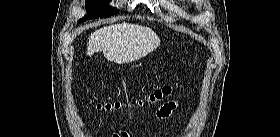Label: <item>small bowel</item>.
Instances as JSON below:
<instances>
[{"label": "small bowel", "instance_id": "obj_1", "mask_svg": "<svg viewBox=\"0 0 280 137\" xmlns=\"http://www.w3.org/2000/svg\"><path fill=\"white\" fill-rule=\"evenodd\" d=\"M177 104L175 102H170L165 105H163L161 108H159L148 120V123L153 125L158 120L166 119L168 118L171 113L176 109ZM123 137H127L128 134L123 132Z\"/></svg>", "mask_w": 280, "mask_h": 137}]
</instances>
